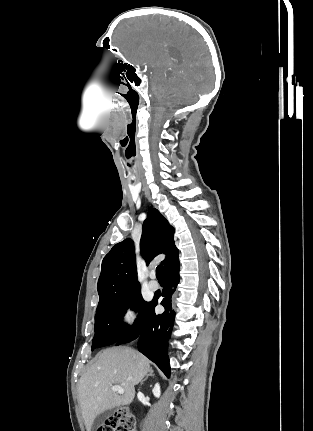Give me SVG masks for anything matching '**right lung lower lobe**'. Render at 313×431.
<instances>
[{
  "label": "right lung lower lobe",
  "mask_w": 313,
  "mask_h": 431,
  "mask_svg": "<svg viewBox=\"0 0 313 431\" xmlns=\"http://www.w3.org/2000/svg\"><path fill=\"white\" fill-rule=\"evenodd\" d=\"M178 283L179 260L177 255L165 268V286L162 292L155 295L151 302H148L140 315L137 325L116 342V345L127 343L140 335L138 350L153 361L167 377L170 375L167 342L171 335L175 318L171 297ZM161 295L164 297L161 305L164 306L165 311L161 315H157L154 309Z\"/></svg>",
  "instance_id": "right-lung-lower-lobe-1"
}]
</instances>
